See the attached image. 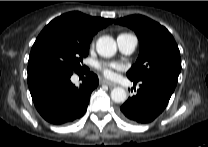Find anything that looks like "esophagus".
I'll use <instances>...</instances> for the list:
<instances>
[{
  "mask_svg": "<svg viewBox=\"0 0 208 147\" xmlns=\"http://www.w3.org/2000/svg\"><path fill=\"white\" fill-rule=\"evenodd\" d=\"M101 83L106 84V85H108L109 87H116V86H117L116 83H113V82H111V81H109V80H106V79H101Z\"/></svg>",
  "mask_w": 208,
  "mask_h": 147,
  "instance_id": "esophagus-1",
  "label": "esophagus"
}]
</instances>
